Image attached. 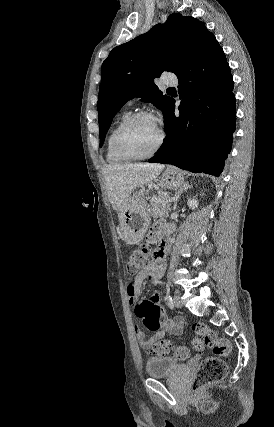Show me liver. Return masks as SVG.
I'll return each mask as SVG.
<instances>
[{
	"instance_id": "liver-1",
	"label": "liver",
	"mask_w": 274,
	"mask_h": 427,
	"mask_svg": "<svg viewBox=\"0 0 274 427\" xmlns=\"http://www.w3.org/2000/svg\"><path fill=\"white\" fill-rule=\"evenodd\" d=\"M162 164H111L104 170L108 200L113 210H120L121 206H129L131 196H135L134 190L151 184L164 170Z\"/></svg>"
}]
</instances>
